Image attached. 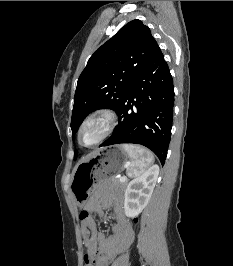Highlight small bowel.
<instances>
[{"label":"small bowel","mask_w":233,"mask_h":266,"mask_svg":"<svg viewBox=\"0 0 233 266\" xmlns=\"http://www.w3.org/2000/svg\"><path fill=\"white\" fill-rule=\"evenodd\" d=\"M108 207L113 208L116 220L109 235L98 231L92 217L86 224H82L85 266H109L111 260L133 240L132 226L124 214L121 195L102 187L88 202L86 210L103 217Z\"/></svg>","instance_id":"c3829d8e"}]
</instances>
